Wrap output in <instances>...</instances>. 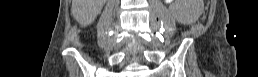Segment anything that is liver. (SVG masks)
I'll list each match as a JSON object with an SVG mask.
<instances>
[{
	"label": "liver",
	"instance_id": "obj_1",
	"mask_svg": "<svg viewBox=\"0 0 258 77\" xmlns=\"http://www.w3.org/2000/svg\"><path fill=\"white\" fill-rule=\"evenodd\" d=\"M92 0H72V13L80 23H88L90 19L89 3Z\"/></svg>",
	"mask_w": 258,
	"mask_h": 77
}]
</instances>
